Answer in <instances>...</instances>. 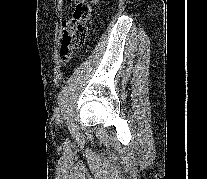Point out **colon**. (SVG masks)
<instances>
[{"label": "colon", "mask_w": 207, "mask_h": 179, "mask_svg": "<svg viewBox=\"0 0 207 179\" xmlns=\"http://www.w3.org/2000/svg\"><path fill=\"white\" fill-rule=\"evenodd\" d=\"M75 3L72 18L64 24L61 53L65 60L72 49L85 44L87 37V22L92 15V6L85 0H72Z\"/></svg>", "instance_id": "obj_1"}]
</instances>
